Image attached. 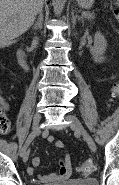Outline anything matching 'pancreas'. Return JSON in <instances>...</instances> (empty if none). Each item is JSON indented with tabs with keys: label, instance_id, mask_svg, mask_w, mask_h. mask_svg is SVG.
Returning <instances> with one entry per match:
<instances>
[{
	"label": "pancreas",
	"instance_id": "obj_1",
	"mask_svg": "<svg viewBox=\"0 0 119 185\" xmlns=\"http://www.w3.org/2000/svg\"><path fill=\"white\" fill-rule=\"evenodd\" d=\"M84 17L87 18L88 20H93L95 18V14L94 13H87Z\"/></svg>",
	"mask_w": 119,
	"mask_h": 185
}]
</instances>
